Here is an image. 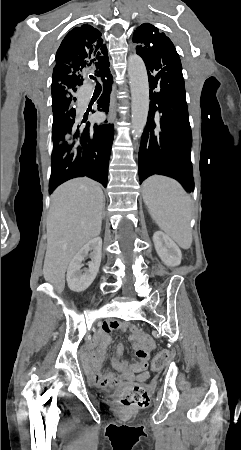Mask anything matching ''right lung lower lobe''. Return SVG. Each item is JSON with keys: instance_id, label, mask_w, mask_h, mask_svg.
<instances>
[{"instance_id": "obj_1", "label": "right lung lower lobe", "mask_w": 241, "mask_h": 450, "mask_svg": "<svg viewBox=\"0 0 241 450\" xmlns=\"http://www.w3.org/2000/svg\"><path fill=\"white\" fill-rule=\"evenodd\" d=\"M109 64L95 71L100 77L104 89L97 100L98 110L108 112L109 96L112 86V75ZM79 85L83 78L78 79ZM76 115L63 116L55 123V131L61 134H71L74 141L71 144H53L51 159V176L49 193L63 182L87 176L104 187L107 186L108 164L114 136L111 124L80 126L75 123Z\"/></svg>"}]
</instances>
